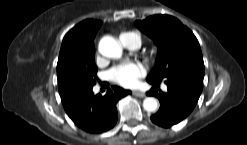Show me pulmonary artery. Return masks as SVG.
<instances>
[{
	"label": "pulmonary artery",
	"mask_w": 247,
	"mask_h": 145,
	"mask_svg": "<svg viewBox=\"0 0 247 145\" xmlns=\"http://www.w3.org/2000/svg\"><path fill=\"white\" fill-rule=\"evenodd\" d=\"M121 43L130 50H137L141 46L138 35L133 33H124L120 36Z\"/></svg>",
	"instance_id": "obj_1"
}]
</instances>
